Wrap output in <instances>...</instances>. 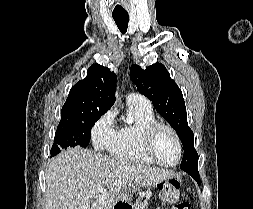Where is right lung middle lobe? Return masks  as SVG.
Listing matches in <instances>:
<instances>
[{
	"label": "right lung middle lobe",
	"instance_id": "dd1d6c3e",
	"mask_svg": "<svg viewBox=\"0 0 253 209\" xmlns=\"http://www.w3.org/2000/svg\"><path fill=\"white\" fill-rule=\"evenodd\" d=\"M101 115L103 114L89 113L60 122L51 148V156L57 155L61 152V149L67 147L79 145L86 148L90 142L91 128Z\"/></svg>",
	"mask_w": 253,
	"mask_h": 209
}]
</instances>
